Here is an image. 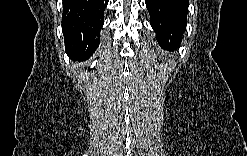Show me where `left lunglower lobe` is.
I'll list each match as a JSON object with an SVG mask.
<instances>
[{
    "instance_id": "1",
    "label": "left lung lower lobe",
    "mask_w": 247,
    "mask_h": 156,
    "mask_svg": "<svg viewBox=\"0 0 247 156\" xmlns=\"http://www.w3.org/2000/svg\"><path fill=\"white\" fill-rule=\"evenodd\" d=\"M146 6L160 46L177 49L186 29L188 0H146Z\"/></svg>"
}]
</instances>
